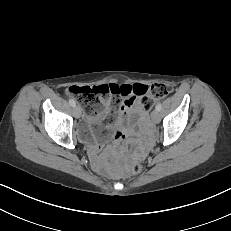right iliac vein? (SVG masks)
<instances>
[{"mask_svg": "<svg viewBox=\"0 0 231 231\" xmlns=\"http://www.w3.org/2000/svg\"><path fill=\"white\" fill-rule=\"evenodd\" d=\"M73 113L76 118H80L82 114L81 108L79 106H74Z\"/></svg>", "mask_w": 231, "mask_h": 231, "instance_id": "obj_1", "label": "right iliac vein"}]
</instances>
